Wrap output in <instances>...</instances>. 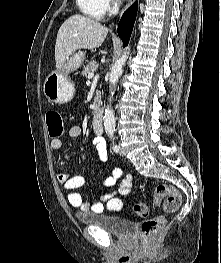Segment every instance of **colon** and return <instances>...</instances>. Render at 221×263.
<instances>
[{
    "label": "colon",
    "instance_id": "5ec220e1",
    "mask_svg": "<svg viewBox=\"0 0 221 263\" xmlns=\"http://www.w3.org/2000/svg\"><path fill=\"white\" fill-rule=\"evenodd\" d=\"M46 120L51 138H58L63 134L64 124L62 116L58 110L51 109L46 113ZM163 201V210L165 213L176 212L181 204V195L179 191L167 184L160 183L156 185L153 194V204L159 206ZM134 212L140 217H146L149 213L147 204L139 202L134 205ZM165 224L163 216H157L146 219L141 224V239L149 244L162 230Z\"/></svg>",
    "mask_w": 221,
    "mask_h": 263
}]
</instances>
